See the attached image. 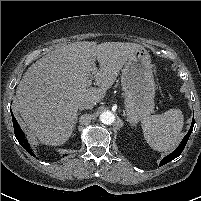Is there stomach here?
Wrapping results in <instances>:
<instances>
[{
    "instance_id": "1",
    "label": "stomach",
    "mask_w": 201,
    "mask_h": 201,
    "mask_svg": "<svg viewBox=\"0 0 201 201\" xmlns=\"http://www.w3.org/2000/svg\"><path fill=\"white\" fill-rule=\"evenodd\" d=\"M121 85L130 122L144 121L154 110L155 95L151 57L144 47L128 59L122 70Z\"/></svg>"
}]
</instances>
